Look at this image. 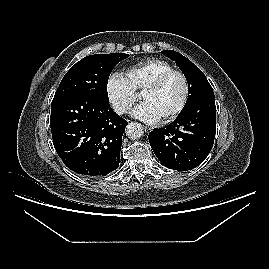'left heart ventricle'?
<instances>
[{
    "label": "left heart ventricle",
    "mask_w": 269,
    "mask_h": 269,
    "mask_svg": "<svg viewBox=\"0 0 269 269\" xmlns=\"http://www.w3.org/2000/svg\"><path fill=\"white\" fill-rule=\"evenodd\" d=\"M184 82L179 75H173L155 92L141 95L143 102H148L159 118L172 112L182 101Z\"/></svg>",
    "instance_id": "obj_1"
}]
</instances>
